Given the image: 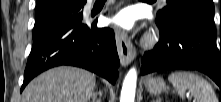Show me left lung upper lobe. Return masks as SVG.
Returning a JSON list of instances; mask_svg holds the SVG:
<instances>
[{"instance_id": "5c2ea615", "label": "left lung upper lobe", "mask_w": 221, "mask_h": 102, "mask_svg": "<svg viewBox=\"0 0 221 102\" xmlns=\"http://www.w3.org/2000/svg\"><path fill=\"white\" fill-rule=\"evenodd\" d=\"M167 3L168 5L157 13L158 23L165 24L182 15L215 29L212 0H167Z\"/></svg>"}]
</instances>
